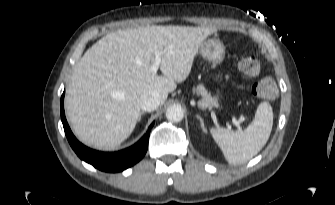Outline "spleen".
<instances>
[{"instance_id":"3e777b00","label":"spleen","mask_w":335,"mask_h":205,"mask_svg":"<svg viewBox=\"0 0 335 205\" xmlns=\"http://www.w3.org/2000/svg\"><path fill=\"white\" fill-rule=\"evenodd\" d=\"M272 126V107L267 102H261L253 121L244 131L218 128L211 129V134L229 164H242L262 150L269 139Z\"/></svg>"}]
</instances>
